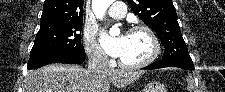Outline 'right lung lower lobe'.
<instances>
[{"label":"right lung lower lobe","mask_w":225,"mask_h":92,"mask_svg":"<svg viewBox=\"0 0 225 92\" xmlns=\"http://www.w3.org/2000/svg\"><path fill=\"white\" fill-rule=\"evenodd\" d=\"M86 58L84 48L52 51L29 58L27 69H37L51 63L80 64Z\"/></svg>","instance_id":"1"}]
</instances>
